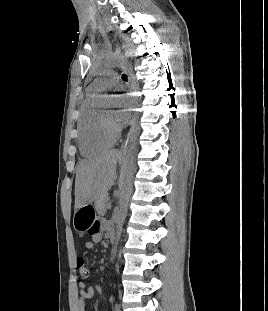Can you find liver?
I'll return each instance as SVG.
<instances>
[{"label": "liver", "mask_w": 268, "mask_h": 311, "mask_svg": "<svg viewBox=\"0 0 268 311\" xmlns=\"http://www.w3.org/2000/svg\"><path fill=\"white\" fill-rule=\"evenodd\" d=\"M119 159L121 153L118 150H109L94 159L79 163L75 179V209L90 204L107 193L116 178Z\"/></svg>", "instance_id": "liver-1"}]
</instances>
